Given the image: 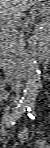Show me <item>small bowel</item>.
<instances>
[{"mask_svg":"<svg viewBox=\"0 0 50 148\" xmlns=\"http://www.w3.org/2000/svg\"><path fill=\"white\" fill-rule=\"evenodd\" d=\"M19 140L21 143L25 144L28 140V132L26 130H23L19 133ZM37 147L39 148H48L49 145L45 142V140H40L37 143Z\"/></svg>","mask_w":50,"mask_h":148,"instance_id":"c3829d8e","label":"small bowel"}]
</instances>
